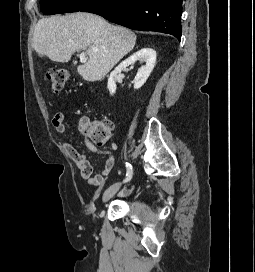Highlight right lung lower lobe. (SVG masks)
Here are the masks:
<instances>
[{
    "instance_id": "obj_1",
    "label": "right lung lower lobe",
    "mask_w": 255,
    "mask_h": 272,
    "mask_svg": "<svg viewBox=\"0 0 255 272\" xmlns=\"http://www.w3.org/2000/svg\"><path fill=\"white\" fill-rule=\"evenodd\" d=\"M182 0H95L82 12L141 31L168 33L180 41Z\"/></svg>"
}]
</instances>
